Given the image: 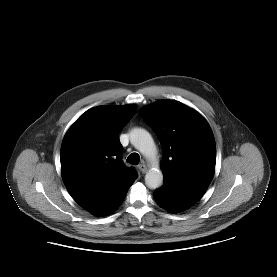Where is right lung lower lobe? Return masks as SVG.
I'll list each match as a JSON object with an SVG mask.
<instances>
[{
    "mask_svg": "<svg viewBox=\"0 0 277 277\" xmlns=\"http://www.w3.org/2000/svg\"><path fill=\"white\" fill-rule=\"evenodd\" d=\"M135 180L129 182L125 187L121 189L119 193H117L108 203H106L103 207L91 212V214L95 216H105L116 210L119 205L124 200L128 189L133 184Z\"/></svg>",
    "mask_w": 277,
    "mask_h": 277,
    "instance_id": "right-lung-lower-lobe-1",
    "label": "right lung lower lobe"
}]
</instances>
